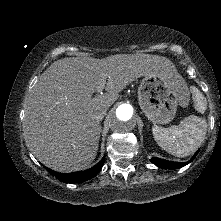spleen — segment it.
I'll return each mask as SVG.
<instances>
[{
	"label": "spleen",
	"instance_id": "spleen-1",
	"mask_svg": "<svg viewBox=\"0 0 221 221\" xmlns=\"http://www.w3.org/2000/svg\"><path fill=\"white\" fill-rule=\"evenodd\" d=\"M190 90L195 109L204 113L207 108L204 95L194 86ZM152 131L155 141L163 150L177 157H186L200 146L207 131V122L203 118L190 115L179 125L169 128L155 126Z\"/></svg>",
	"mask_w": 221,
	"mask_h": 221
}]
</instances>
